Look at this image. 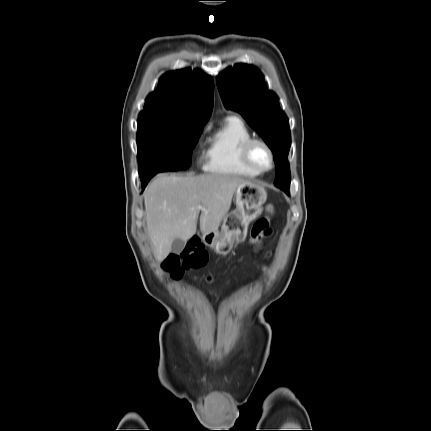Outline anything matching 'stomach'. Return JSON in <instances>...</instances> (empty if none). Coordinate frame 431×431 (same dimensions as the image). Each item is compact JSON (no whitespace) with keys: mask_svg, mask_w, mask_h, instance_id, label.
<instances>
[{"mask_svg":"<svg viewBox=\"0 0 431 431\" xmlns=\"http://www.w3.org/2000/svg\"><path fill=\"white\" fill-rule=\"evenodd\" d=\"M266 199L262 186L253 182L240 185L235 192L236 209L225 216L220 230L203 235L204 244L218 254H228L235 243L245 240L249 223L261 214Z\"/></svg>","mask_w":431,"mask_h":431,"instance_id":"0dacf381","label":"stomach"}]
</instances>
